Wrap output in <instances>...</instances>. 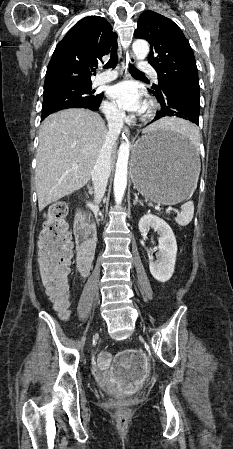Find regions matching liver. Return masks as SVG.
I'll return each instance as SVG.
<instances>
[{"mask_svg": "<svg viewBox=\"0 0 233 449\" xmlns=\"http://www.w3.org/2000/svg\"><path fill=\"white\" fill-rule=\"evenodd\" d=\"M180 122L175 118H163L142 132L171 129ZM107 133L101 116L87 109L62 110L42 122L35 170L40 211L81 189L90 180ZM115 149L114 145L113 156ZM73 165H77V169Z\"/></svg>", "mask_w": 233, "mask_h": 449, "instance_id": "liver-1", "label": "liver"}]
</instances>
